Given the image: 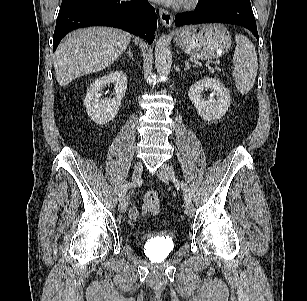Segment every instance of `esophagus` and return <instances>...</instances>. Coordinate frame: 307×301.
<instances>
[{
	"label": "esophagus",
	"instance_id": "obj_1",
	"mask_svg": "<svg viewBox=\"0 0 307 301\" xmlns=\"http://www.w3.org/2000/svg\"><path fill=\"white\" fill-rule=\"evenodd\" d=\"M159 17H160V20L162 22V24L165 26V27H170L172 22H173V16L172 14L163 9V8H160L159 9Z\"/></svg>",
	"mask_w": 307,
	"mask_h": 301
}]
</instances>
